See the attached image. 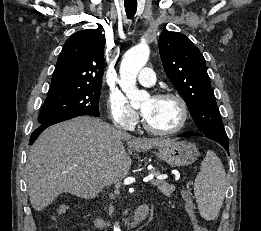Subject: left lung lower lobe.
<instances>
[{"label":"left lung lower lobe","instance_id":"0a47b994","mask_svg":"<svg viewBox=\"0 0 261 231\" xmlns=\"http://www.w3.org/2000/svg\"><path fill=\"white\" fill-rule=\"evenodd\" d=\"M188 136H201V135L194 133V132H185V133H182V134L179 135V137H188ZM209 139H212V140L220 143L226 149V151L228 152V150H229L228 140H221V139H218V138H209Z\"/></svg>","mask_w":261,"mask_h":231}]
</instances>
